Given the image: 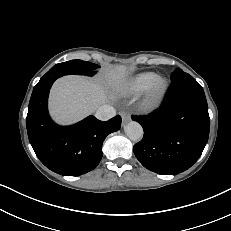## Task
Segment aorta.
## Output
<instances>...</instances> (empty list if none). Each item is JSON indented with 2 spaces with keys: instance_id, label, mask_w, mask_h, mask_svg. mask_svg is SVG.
<instances>
[{
  "instance_id": "obj_1",
  "label": "aorta",
  "mask_w": 231,
  "mask_h": 231,
  "mask_svg": "<svg viewBox=\"0 0 231 231\" xmlns=\"http://www.w3.org/2000/svg\"><path fill=\"white\" fill-rule=\"evenodd\" d=\"M124 131L127 137L132 141H139L143 137V128L138 122L135 121L129 122L124 127Z\"/></svg>"
}]
</instances>
